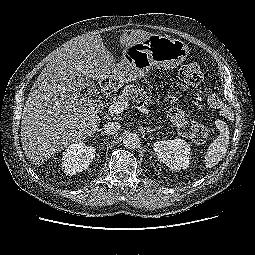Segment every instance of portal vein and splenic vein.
Returning a JSON list of instances; mask_svg holds the SVG:
<instances>
[{"instance_id": "obj_1", "label": "portal vein and splenic vein", "mask_w": 255, "mask_h": 255, "mask_svg": "<svg viewBox=\"0 0 255 255\" xmlns=\"http://www.w3.org/2000/svg\"><path fill=\"white\" fill-rule=\"evenodd\" d=\"M129 103L127 101H118V102H114L112 104H110L109 106V111L112 114H118L123 112L124 110L129 108ZM136 108L143 112L144 114H148L149 110L147 109L146 106L144 105H137Z\"/></svg>"}]
</instances>
